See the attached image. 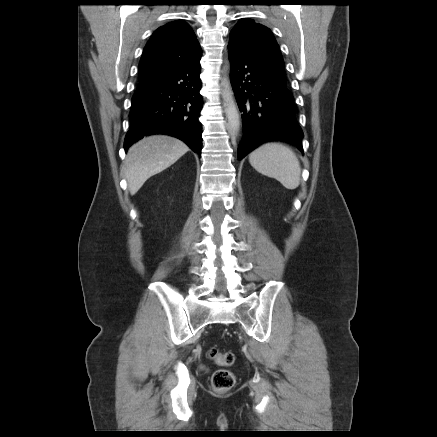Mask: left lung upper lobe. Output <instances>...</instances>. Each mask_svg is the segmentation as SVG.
I'll return each mask as SVG.
<instances>
[{
    "instance_id": "1",
    "label": "left lung upper lobe",
    "mask_w": 437,
    "mask_h": 437,
    "mask_svg": "<svg viewBox=\"0 0 437 437\" xmlns=\"http://www.w3.org/2000/svg\"><path fill=\"white\" fill-rule=\"evenodd\" d=\"M228 47L286 84L284 61L279 46L266 26L249 19L239 21L231 31Z\"/></svg>"
}]
</instances>
